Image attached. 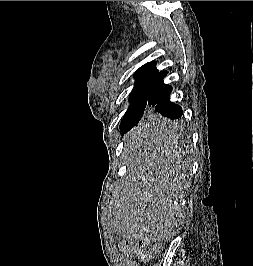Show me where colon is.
<instances>
[{
    "instance_id": "colon-1",
    "label": "colon",
    "mask_w": 253,
    "mask_h": 266,
    "mask_svg": "<svg viewBox=\"0 0 253 266\" xmlns=\"http://www.w3.org/2000/svg\"><path fill=\"white\" fill-rule=\"evenodd\" d=\"M122 250L130 255H137L142 259L149 258L158 248H146L145 242H124Z\"/></svg>"
}]
</instances>
